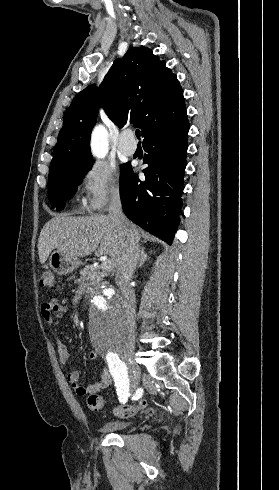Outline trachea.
<instances>
[{"label":"trachea","instance_id":"trachea-1","mask_svg":"<svg viewBox=\"0 0 279 490\" xmlns=\"http://www.w3.org/2000/svg\"><path fill=\"white\" fill-rule=\"evenodd\" d=\"M135 135L139 139L140 138V130H136Z\"/></svg>","mask_w":279,"mask_h":490}]
</instances>
